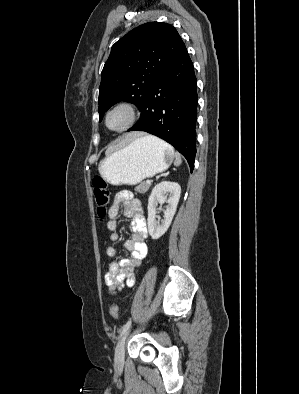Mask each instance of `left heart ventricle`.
I'll return each instance as SVG.
<instances>
[{"mask_svg":"<svg viewBox=\"0 0 299 394\" xmlns=\"http://www.w3.org/2000/svg\"><path fill=\"white\" fill-rule=\"evenodd\" d=\"M126 120V112L123 110H119L110 115L108 123L111 128H119L126 122Z\"/></svg>","mask_w":299,"mask_h":394,"instance_id":"b2bd125f","label":"left heart ventricle"}]
</instances>
